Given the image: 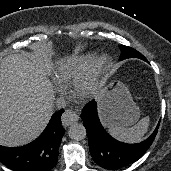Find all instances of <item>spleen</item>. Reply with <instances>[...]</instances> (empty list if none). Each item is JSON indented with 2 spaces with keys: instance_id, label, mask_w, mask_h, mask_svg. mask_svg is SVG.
<instances>
[{
  "instance_id": "1",
  "label": "spleen",
  "mask_w": 171,
  "mask_h": 171,
  "mask_svg": "<svg viewBox=\"0 0 171 171\" xmlns=\"http://www.w3.org/2000/svg\"><path fill=\"white\" fill-rule=\"evenodd\" d=\"M149 125L150 119L149 117H145L131 128L108 126V131L113 137L120 141L128 143H138L143 139L144 135L147 133Z\"/></svg>"
}]
</instances>
